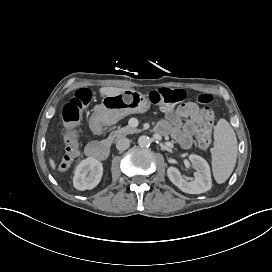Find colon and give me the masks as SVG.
<instances>
[{
	"label": "colon",
	"mask_w": 272,
	"mask_h": 272,
	"mask_svg": "<svg viewBox=\"0 0 272 272\" xmlns=\"http://www.w3.org/2000/svg\"><path fill=\"white\" fill-rule=\"evenodd\" d=\"M150 100L155 108L161 110L165 107L170 108L174 103L183 99V94L179 90L167 88L157 89L150 92ZM91 100V92L88 89H80L76 92L63 107L62 123L63 127V146L65 156L60 164L61 169H66L70 161H75L79 157V149L76 144V126L79 125L86 105ZM214 97L211 94H202L197 97L196 102L201 106L202 118L200 120L203 129L197 135V142L201 149L206 150L210 146L211 126L214 122V113L211 105Z\"/></svg>",
	"instance_id": "obj_1"
}]
</instances>
